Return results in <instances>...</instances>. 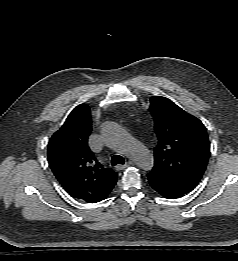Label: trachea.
Listing matches in <instances>:
<instances>
[{"instance_id": "trachea-1", "label": "trachea", "mask_w": 238, "mask_h": 261, "mask_svg": "<svg viewBox=\"0 0 238 261\" xmlns=\"http://www.w3.org/2000/svg\"><path fill=\"white\" fill-rule=\"evenodd\" d=\"M124 162H125L124 158L120 155H114L111 159L112 166H115L117 164H124Z\"/></svg>"}]
</instances>
